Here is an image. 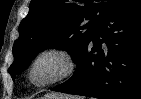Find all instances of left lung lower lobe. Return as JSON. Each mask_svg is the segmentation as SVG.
I'll use <instances>...</instances> for the list:
<instances>
[{
    "label": "left lung lower lobe",
    "instance_id": "left-lung-lower-lobe-1",
    "mask_svg": "<svg viewBox=\"0 0 141 99\" xmlns=\"http://www.w3.org/2000/svg\"><path fill=\"white\" fill-rule=\"evenodd\" d=\"M52 90L99 99H141V0H117L106 11L73 76Z\"/></svg>",
    "mask_w": 141,
    "mask_h": 99
}]
</instances>
